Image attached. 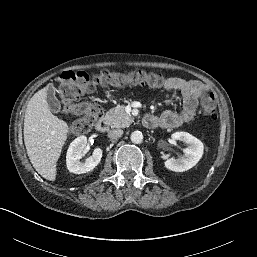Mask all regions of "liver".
<instances>
[{
  "label": "liver",
  "instance_id": "6515ba94",
  "mask_svg": "<svg viewBox=\"0 0 257 257\" xmlns=\"http://www.w3.org/2000/svg\"><path fill=\"white\" fill-rule=\"evenodd\" d=\"M58 81V79H56ZM48 86L29 100L24 118V143L35 170L45 179H56V164L67 140L69 127L51 113L47 97Z\"/></svg>",
  "mask_w": 257,
  "mask_h": 257
}]
</instances>
